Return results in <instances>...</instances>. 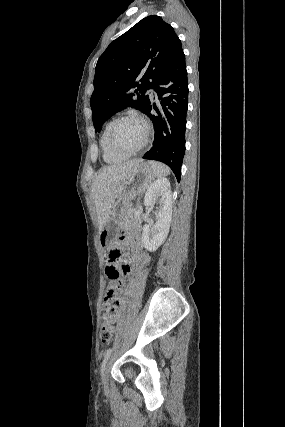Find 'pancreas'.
I'll list each match as a JSON object with an SVG mask.
<instances>
[{
  "label": "pancreas",
  "mask_w": 285,
  "mask_h": 427,
  "mask_svg": "<svg viewBox=\"0 0 285 427\" xmlns=\"http://www.w3.org/2000/svg\"><path fill=\"white\" fill-rule=\"evenodd\" d=\"M137 208H129L127 211L126 218L122 221V223L133 222L138 219V215H136Z\"/></svg>",
  "instance_id": "obj_1"
}]
</instances>
